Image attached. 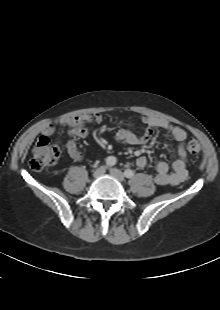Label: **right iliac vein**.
Returning a JSON list of instances; mask_svg holds the SVG:
<instances>
[{
	"label": "right iliac vein",
	"mask_w": 220,
	"mask_h": 310,
	"mask_svg": "<svg viewBox=\"0 0 220 310\" xmlns=\"http://www.w3.org/2000/svg\"><path fill=\"white\" fill-rule=\"evenodd\" d=\"M105 173V167L104 166H101L99 168H97L94 173H93V176L95 178H98L100 176H102L103 174Z\"/></svg>",
	"instance_id": "right-iliac-vein-1"
}]
</instances>
